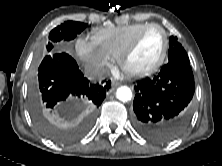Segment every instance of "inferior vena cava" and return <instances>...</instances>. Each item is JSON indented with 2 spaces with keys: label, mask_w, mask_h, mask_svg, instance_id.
I'll use <instances>...</instances> for the list:
<instances>
[{
  "label": "inferior vena cava",
  "mask_w": 222,
  "mask_h": 166,
  "mask_svg": "<svg viewBox=\"0 0 222 166\" xmlns=\"http://www.w3.org/2000/svg\"><path fill=\"white\" fill-rule=\"evenodd\" d=\"M109 74V71L104 67L88 66L85 68V76L90 80L101 81Z\"/></svg>",
  "instance_id": "obj_1"
}]
</instances>
